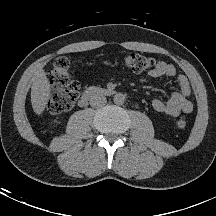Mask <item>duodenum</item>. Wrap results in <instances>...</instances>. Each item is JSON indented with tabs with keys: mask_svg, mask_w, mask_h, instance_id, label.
Returning <instances> with one entry per match:
<instances>
[{
	"mask_svg": "<svg viewBox=\"0 0 216 216\" xmlns=\"http://www.w3.org/2000/svg\"><path fill=\"white\" fill-rule=\"evenodd\" d=\"M114 90L108 88H88L79 100L80 106H86L88 102L95 96L103 95L109 96L114 94Z\"/></svg>",
	"mask_w": 216,
	"mask_h": 216,
	"instance_id": "410a0bca",
	"label": "duodenum"
}]
</instances>
